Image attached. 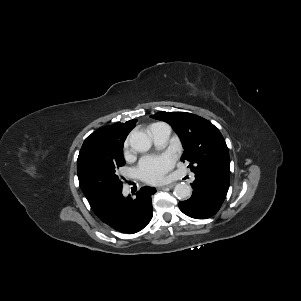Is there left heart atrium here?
<instances>
[{"instance_id": "1", "label": "left heart atrium", "mask_w": 301, "mask_h": 301, "mask_svg": "<svg viewBox=\"0 0 301 301\" xmlns=\"http://www.w3.org/2000/svg\"><path fill=\"white\" fill-rule=\"evenodd\" d=\"M175 160L171 154L143 157L137 168L138 177L147 183L158 184L165 180L167 173L174 167Z\"/></svg>"}]
</instances>
